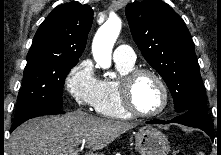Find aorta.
<instances>
[{
    "label": "aorta",
    "instance_id": "obj_1",
    "mask_svg": "<svg viewBox=\"0 0 221 155\" xmlns=\"http://www.w3.org/2000/svg\"><path fill=\"white\" fill-rule=\"evenodd\" d=\"M121 30V20L118 17L108 19L97 31L93 44L92 53L97 65L103 69L111 66L112 49ZM114 77L113 73H108Z\"/></svg>",
    "mask_w": 221,
    "mask_h": 155
}]
</instances>
